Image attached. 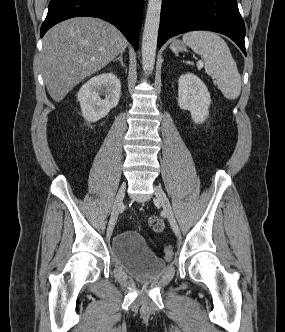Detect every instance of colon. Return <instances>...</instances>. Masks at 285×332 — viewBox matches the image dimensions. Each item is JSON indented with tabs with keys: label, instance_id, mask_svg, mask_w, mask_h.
<instances>
[{
	"label": "colon",
	"instance_id": "1",
	"mask_svg": "<svg viewBox=\"0 0 285 332\" xmlns=\"http://www.w3.org/2000/svg\"><path fill=\"white\" fill-rule=\"evenodd\" d=\"M149 226L154 232H161L164 228V223L160 218H158L156 216H152L149 219ZM173 254H174V252L171 247L167 246L164 249V258L166 260H171L173 257Z\"/></svg>",
	"mask_w": 285,
	"mask_h": 332
}]
</instances>
